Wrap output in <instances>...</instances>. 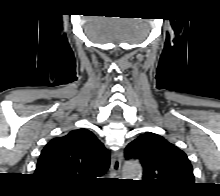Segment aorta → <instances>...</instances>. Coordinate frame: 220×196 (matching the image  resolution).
Listing matches in <instances>:
<instances>
[{"instance_id":"762f6f07","label":"aorta","mask_w":220,"mask_h":196,"mask_svg":"<svg viewBox=\"0 0 220 196\" xmlns=\"http://www.w3.org/2000/svg\"><path fill=\"white\" fill-rule=\"evenodd\" d=\"M142 167L137 161H126L123 166L124 179L140 178ZM138 180V179H137Z\"/></svg>"}]
</instances>
